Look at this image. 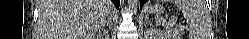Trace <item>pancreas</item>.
I'll return each mask as SVG.
<instances>
[{
    "label": "pancreas",
    "mask_w": 249,
    "mask_h": 39,
    "mask_svg": "<svg viewBox=\"0 0 249 39\" xmlns=\"http://www.w3.org/2000/svg\"><path fill=\"white\" fill-rule=\"evenodd\" d=\"M173 36L177 35L178 33L176 32V30H173Z\"/></svg>",
    "instance_id": "pancreas-1"
}]
</instances>
